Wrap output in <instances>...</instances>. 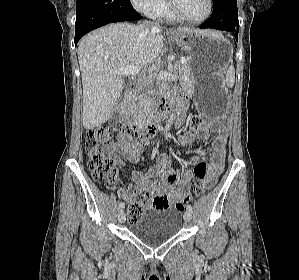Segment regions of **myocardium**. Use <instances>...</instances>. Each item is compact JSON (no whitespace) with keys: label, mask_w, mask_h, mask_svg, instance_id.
Instances as JSON below:
<instances>
[{"label":"myocardium","mask_w":299,"mask_h":280,"mask_svg":"<svg viewBox=\"0 0 299 280\" xmlns=\"http://www.w3.org/2000/svg\"><path fill=\"white\" fill-rule=\"evenodd\" d=\"M167 5L169 10L171 11V13L179 20L190 23V24H201L203 22H205L212 14V10H213V1L212 0H207L208 3V9L206 14L197 20L194 19H190L187 16H185L183 14V12L180 10L179 6L177 5V1L176 0H166Z\"/></svg>","instance_id":"obj_1"}]
</instances>
